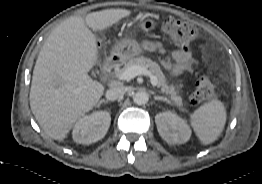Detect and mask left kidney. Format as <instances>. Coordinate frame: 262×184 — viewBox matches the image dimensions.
<instances>
[{
    "label": "left kidney",
    "mask_w": 262,
    "mask_h": 184,
    "mask_svg": "<svg viewBox=\"0 0 262 184\" xmlns=\"http://www.w3.org/2000/svg\"><path fill=\"white\" fill-rule=\"evenodd\" d=\"M159 135L169 144H182L191 137L187 122L177 114L167 111L155 116Z\"/></svg>",
    "instance_id": "5707ae66"
}]
</instances>
